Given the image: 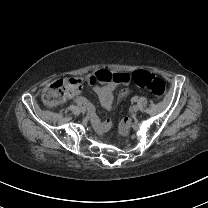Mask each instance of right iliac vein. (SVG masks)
Listing matches in <instances>:
<instances>
[{"mask_svg": "<svg viewBox=\"0 0 208 208\" xmlns=\"http://www.w3.org/2000/svg\"><path fill=\"white\" fill-rule=\"evenodd\" d=\"M80 111H81V113H86V108H84V107H82L81 109H80Z\"/></svg>", "mask_w": 208, "mask_h": 208, "instance_id": "obj_1", "label": "right iliac vein"}]
</instances>
